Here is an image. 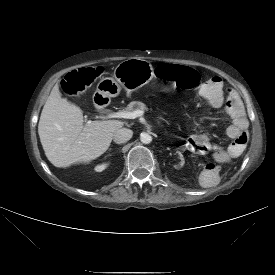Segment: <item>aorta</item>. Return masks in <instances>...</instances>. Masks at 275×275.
<instances>
[{
  "label": "aorta",
  "mask_w": 275,
  "mask_h": 275,
  "mask_svg": "<svg viewBox=\"0 0 275 275\" xmlns=\"http://www.w3.org/2000/svg\"><path fill=\"white\" fill-rule=\"evenodd\" d=\"M140 140L144 144H149L152 141V136L148 133L143 132L140 134Z\"/></svg>",
  "instance_id": "obj_1"
}]
</instances>
